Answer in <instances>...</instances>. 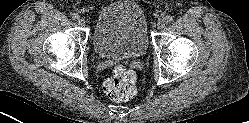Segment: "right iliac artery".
Segmentation results:
<instances>
[{
  "label": "right iliac artery",
  "mask_w": 249,
  "mask_h": 123,
  "mask_svg": "<svg viewBox=\"0 0 249 123\" xmlns=\"http://www.w3.org/2000/svg\"><path fill=\"white\" fill-rule=\"evenodd\" d=\"M78 18H79V15H78V14L74 13V14L72 15V19H73V20H77Z\"/></svg>",
  "instance_id": "obj_1"
}]
</instances>
